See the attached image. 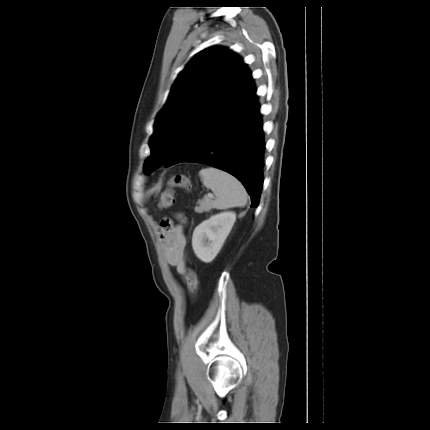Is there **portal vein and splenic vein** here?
<instances>
[{
  "label": "portal vein and splenic vein",
  "mask_w": 430,
  "mask_h": 430,
  "mask_svg": "<svg viewBox=\"0 0 430 430\" xmlns=\"http://www.w3.org/2000/svg\"><path fill=\"white\" fill-rule=\"evenodd\" d=\"M208 197H213V194H211V193H208V195H207Z\"/></svg>",
  "instance_id": "18ae733b"
}]
</instances>
